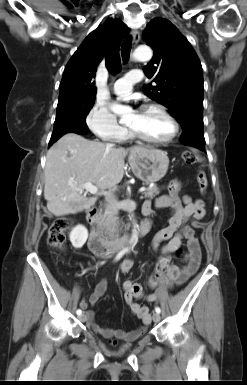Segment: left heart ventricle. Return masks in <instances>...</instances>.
I'll use <instances>...</instances> for the list:
<instances>
[{
  "instance_id": "b2bd125f",
  "label": "left heart ventricle",
  "mask_w": 247,
  "mask_h": 385,
  "mask_svg": "<svg viewBox=\"0 0 247 385\" xmlns=\"http://www.w3.org/2000/svg\"><path fill=\"white\" fill-rule=\"evenodd\" d=\"M128 126L150 139H164L172 132L170 122L156 110L133 113Z\"/></svg>"
}]
</instances>
